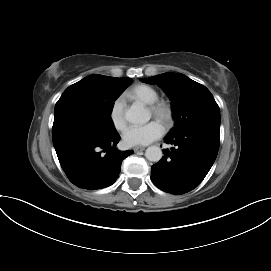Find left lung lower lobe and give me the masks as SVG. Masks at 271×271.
Here are the masks:
<instances>
[{
	"mask_svg": "<svg viewBox=\"0 0 271 271\" xmlns=\"http://www.w3.org/2000/svg\"><path fill=\"white\" fill-rule=\"evenodd\" d=\"M220 127L200 126L165 137L174 144L151 168V180L159 189L184 194L196 188L212 167L219 149Z\"/></svg>",
	"mask_w": 271,
	"mask_h": 271,
	"instance_id": "0a47b994",
	"label": "left lung lower lobe"
}]
</instances>
